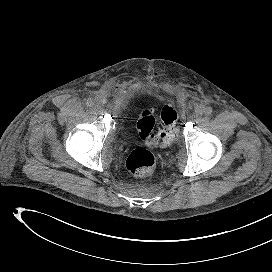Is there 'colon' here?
Masks as SVG:
<instances>
[{
  "label": "colon",
  "mask_w": 272,
  "mask_h": 272,
  "mask_svg": "<svg viewBox=\"0 0 272 272\" xmlns=\"http://www.w3.org/2000/svg\"><path fill=\"white\" fill-rule=\"evenodd\" d=\"M156 118L154 110L147 109L142 112L137 122L140 137L150 146H169L177 133V113L169 106L161 112V123L155 131ZM126 167L135 176L147 177L155 168L154 155L145 148L133 150L127 160Z\"/></svg>",
  "instance_id": "5ec220e1"
}]
</instances>
